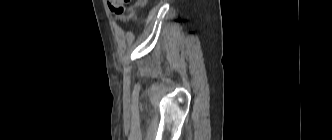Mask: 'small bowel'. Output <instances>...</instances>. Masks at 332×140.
Here are the masks:
<instances>
[{
	"mask_svg": "<svg viewBox=\"0 0 332 140\" xmlns=\"http://www.w3.org/2000/svg\"><path fill=\"white\" fill-rule=\"evenodd\" d=\"M134 8H132L131 10H130V13H129V15H128V17H125L124 18V22H126L127 20H129L132 16H133V14H134Z\"/></svg>",
	"mask_w": 332,
	"mask_h": 140,
	"instance_id": "1",
	"label": "small bowel"
}]
</instances>
